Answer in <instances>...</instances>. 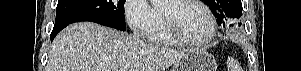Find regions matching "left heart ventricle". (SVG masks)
I'll use <instances>...</instances> for the list:
<instances>
[{"label":"left heart ventricle","instance_id":"obj_1","mask_svg":"<svg viewBox=\"0 0 301 71\" xmlns=\"http://www.w3.org/2000/svg\"><path fill=\"white\" fill-rule=\"evenodd\" d=\"M162 10L181 34L190 40H203L210 32V21L204 10L192 3L165 1Z\"/></svg>","mask_w":301,"mask_h":71}]
</instances>
